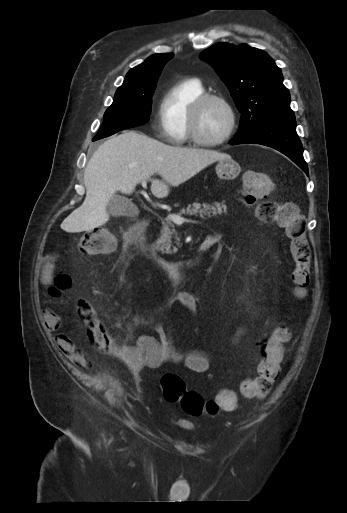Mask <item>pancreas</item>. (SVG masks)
<instances>
[{
	"mask_svg": "<svg viewBox=\"0 0 347 513\" xmlns=\"http://www.w3.org/2000/svg\"><path fill=\"white\" fill-rule=\"evenodd\" d=\"M222 213H226V205L220 204L218 202H213L211 204L209 203H197L194 202L191 205H188L187 208H182L176 215H196L200 214V216H208L211 217L212 215H221ZM175 236L177 240H179L178 234L174 228V224L172 221L167 217L165 219H162V227L160 231V238L157 240L156 245L158 249L167 254H171L173 252H176L177 249L173 248L171 239Z\"/></svg>",
	"mask_w": 347,
	"mask_h": 513,
	"instance_id": "obj_1",
	"label": "pancreas"
}]
</instances>
